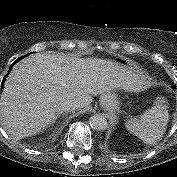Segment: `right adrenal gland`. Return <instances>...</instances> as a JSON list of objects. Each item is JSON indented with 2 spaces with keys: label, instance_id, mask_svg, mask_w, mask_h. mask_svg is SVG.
<instances>
[{
  "label": "right adrenal gland",
  "instance_id": "obj_1",
  "mask_svg": "<svg viewBox=\"0 0 177 177\" xmlns=\"http://www.w3.org/2000/svg\"><path fill=\"white\" fill-rule=\"evenodd\" d=\"M60 116V113L57 114L56 118H58Z\"/></svg>",
  "mask_w": 177,
  "mask_h": 177
}]
</instances>
